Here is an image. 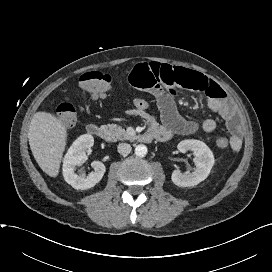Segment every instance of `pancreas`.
<instances>
[{
  "label": "pancreas",
  "mask_w": 272,
  "mask_h": 272,
  "mask_svg": "<svg viewBox=\"0 0 272 272\" xmlns=\"http://www.w3.org/2000/svg\"><path fill=\"white\" fill-rule=\"evenodd\" d=\"M110 140H130L132 137L127 133L125 129L116 124H108L103 126Z\"/></svg>",
  "instance_id": "1"
}]
</instances>
